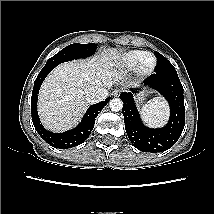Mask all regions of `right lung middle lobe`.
Here are the masks:
<instances>
[{
	"mask_svg": "<svg viewBox=\"0 0 214 214\" xmlns=\"http://www.w3.org/2000/svg\"><path fill=\"white\" fill-rule=\"evenodd\" d=\"M97 49V45L94 43L90 44H71L64 49H62L60 52H58L56 55L51 57L46 65H54L57 66L58 64L66 61H70L73 59L78 58H85L88 56H91L95 53Z\"/></svg>",
	"mask_w": 214,
	"mask_h": 214,
	"instance_id": "right-lung-middle-lobe-1",
	"label": "right lung middle lobe"
}]
</instances>
